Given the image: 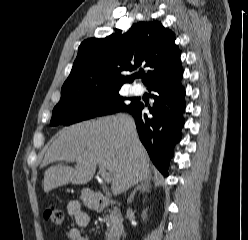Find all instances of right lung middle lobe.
Returning a JSON list of instances; mask_svg holds the SVG:
<instances>
[{"label": "right lung middle lobe", "instance_id": "dd1d6c3e", "mask_svg": "<svg viewBox=\"0 0 248 240\" xmlns=\"http://www.w3.org/2000/svg\"><path fill=\"white\" fill-rule=\"evenodd\" d=\"M120 89H65L52 112L51 126L70 125L91 118L110 115L132 106L119 94Z\"/></svg>", "mask_w": 248, "mask_h": 240}]
</instances>
